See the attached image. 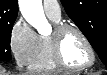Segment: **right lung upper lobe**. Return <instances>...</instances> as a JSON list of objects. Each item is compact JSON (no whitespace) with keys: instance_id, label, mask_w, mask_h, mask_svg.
<instances>
[{"instance_id":"obj_1","label":"right lung upper lobe","mask_w":107,"mask_h":75,"mask_svg":"<svg viewBox=\"0 0 107 75\" xmlns=\"http://www.w3.org/2000/svg\"><path fill=\"white\" fill-rule=\"evenodd\" d=\"M17 14V0H0V24L14 23Z\"/></svg>"}]
</instances>
